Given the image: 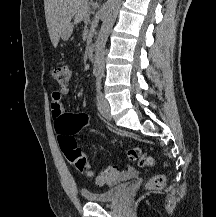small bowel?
Listing matches in <instances>:
<instances>
[{
    "label": "small bowel",
    "mask_w": 216,
    "mask_h": 217,
    "mask_svg": "<svg viewBox=\"0 0 216 217\" xmlns=\"http://www.w3.org/2000/svg\"><path fill=\"white\" fill-rule=\"evenodd\" d=\"M69 90L67 88H60L58 90H55L51 94V116L55 123V128L57 127V123L60 121V119L64 116V107L62 104V99L65 95H67ZM135 172V169L133 167H128L123 175V177H129ZM119 179H117L115 182H118Z\"/></svg>",
    "instance_id": "small-bowel-1"
}]
</instances>
